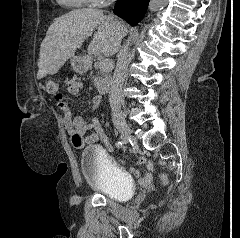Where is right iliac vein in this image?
Here are the masks:
<instances>
[{
  "label": "right iliac vein",
  "instance_id": "63e3f726",
  "mask_svg": "<svg viewBox=\"0 0 240 238\" xmlns=\"http://www.w3.org/2000/svg\"><path fill=\"white\" fill-rule=\"evenodd\" d=\"M116 126L119 130V132L121 133L122 137L124 140H130L131 139V128L129 127V125L122 120H119L116 122Z\"/></svg>",
  "mask_w": 240,
  "mask_h": 238
}]
</instances>
